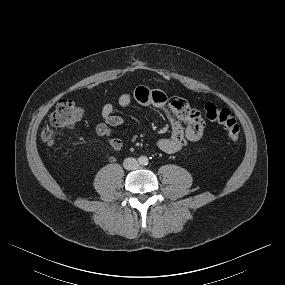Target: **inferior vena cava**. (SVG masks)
<instances>
[{
  "mask_svg": "<svg viewBox=\"0 0 285 285\" xmlns=\"http://www.w3.org/2000/svg\"><path fill=\"white\" fill-rule=\"evenodd\" d=\"M124 168L127 170H135L138 168V162L135 158H126L123 162Z\"/></svg>",
  "mask_w": 285,
  "mask_h": 285,
  "instance_id": "inferior-vena-cava-1",
  "label": "inferior vena cava"
}]
</instances>
